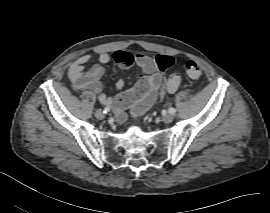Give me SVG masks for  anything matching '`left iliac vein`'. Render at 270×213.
Here are the masks:
<instances>
[{"instance_id": "left-iliac-vein-1", "label": "left iliac vein", "mask_w": 270, "mask_h": 213, "mask_svg": "<svg viewBox=\"0 0 270 213\" xmlns=\"http://www.w3.org/2000/svg\"><path fill=\"white\" fill-rule=\"evenodd\" d=\"M164 123H171L173 121V116L171 114H166L162 118Z\"/></svg>"}]
</instances>
